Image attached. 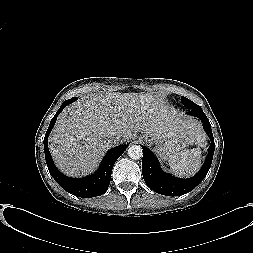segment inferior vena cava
Masks as SVG:
<instances>
[{"mask_svg":"<svg viewBox=\"0 0 253 253\" xmlns=\"http://www.w3.org/2000/svg\"><path fill=\"white\" fill-rule=\"evenodd\" d=\"M110 138H111V142L114 145H119L123 141V136L120 133H115V134L111 135Z\"/></svg>","mask_w":253,"mask_h":253,"instance_id":"1","label":"inferior vena cava"}]
</instances>
